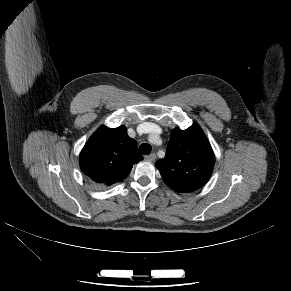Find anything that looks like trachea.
Returning a JSON list of instances; mask_svg holds the SVG:
<instances>
[{"mask_svg": "<svg viewBox=\"0 0 291 291\" xmlns=\"http://www.w3.org/2000/svg\"><path fill=\"white\" fill-rule=\"evenodd\" d=\"M139 151L143 155H149L151 152V146L147 143H143L140 145Z\"/></svg>", "mask_w": 291, "mask_h": 291, "instance_id": "obj_1", "label": "trachea"}]
</instances>
